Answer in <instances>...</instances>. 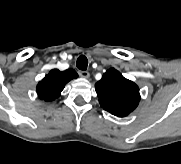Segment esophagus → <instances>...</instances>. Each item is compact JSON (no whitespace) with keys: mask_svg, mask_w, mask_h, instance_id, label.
I'll use <instances>...</instances> for the list:
<instances>
[{"mask_svg":"<svg viewBox=\"0 0 181 164\" xmlns=\"http://www.w3.org/2000/svg\"><path fill=\"white\" fill-rule=\"evenodd\" d=\"M79 75L83 78H89L90 76L88 71H79Z\"/></svg>","mask_w":181,"mask_h":164,"instance_id":"esophagus-1","label":"esophagus"}]
</instances>
